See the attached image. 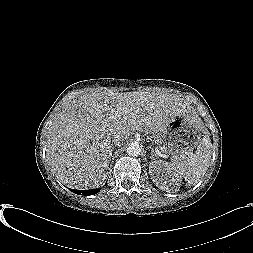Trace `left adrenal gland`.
<instances>
[{
  "mask_svg": "<svg viewBox=\"0 0 253 253\" xmlns=\"http://www.w3.org/2000/svg\"><path fill=\"white\" fill-rule=\"evenodd\" d=\"M151 148V147H150ZM154 151L151 149V158L153 159Z\"/></svg>",
  "mask_w": 253,
  "mask_h": 253,
  "instance_id": "left-adrenal-gland-1",
  "label": "left adrenal gland"
}]
</instances>
